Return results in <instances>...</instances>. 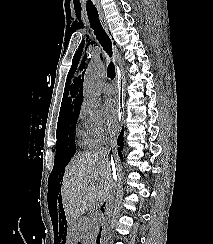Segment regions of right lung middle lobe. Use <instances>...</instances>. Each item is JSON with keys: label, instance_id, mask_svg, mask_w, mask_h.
Instances as JSON below:
<instances>
[{"label": "right lung middle lobe", "instance_id": "right-lung-middle-lobe-1", "mask_svg": "<svg viewBox=\"0 0 213 244\" xmlns=\"http://www.w3.org/2000/svg\"><path fill=\"white\" fill-rule=\"evenodd\" d=\"M80 108L66 111L59 115L57 124V143L54 168L50 182H56L59 172L68 164L76 152L74 130Z\"/></svg>", "mask_w": 213, "mask_h": 244}]
</instances>
